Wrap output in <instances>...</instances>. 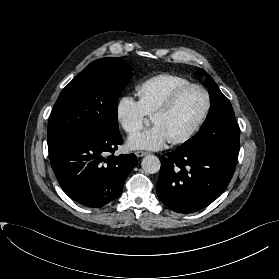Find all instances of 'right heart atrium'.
Listing matches in <instances>:
<instances>
[{
    "label": "right heart atrium",
    "mask_w": 279,
    "mask_h": 279,
    "mask_svg": "<svg viewBox=\"0 0 279 279\" xmlns=\"http://www.w3.org/2000/svg\"><path fill=\"white\" fill-rule=\"evenodd\" d=\"M144 113L139 101L128 95H121L115 106V119L119 127L128 135L138 132L145 121Z\"/></svg>",
    "instance_id": "1"
}]
</instances>
